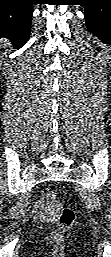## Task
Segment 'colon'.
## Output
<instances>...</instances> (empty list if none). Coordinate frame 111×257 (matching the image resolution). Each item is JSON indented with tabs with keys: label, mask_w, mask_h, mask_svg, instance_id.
<instances>
[{
	"label": "colon",
	"mask_w": 111,
	"mask_h": 257,
	"mask_svg": "<svg viewBox=\"0 0 111 257\" xmlns=\"http://www.w3.org/2000/svg\"><path fill=\"white\" fill-rule=\"evenodd\" d=\"M42 199L46 205L49 206L58 220V227L52 233V238L54 241H60L64 235L69 231L75 222L74 211L65 206H60L56 204L55 194L49 189H45L42 193Z\"/></svg>",
	"instance_id": "5ec220e1"
}]
</instances>
